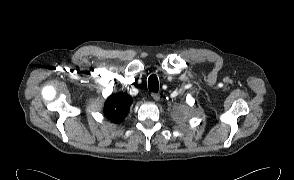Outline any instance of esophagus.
I'll use <instances>...</instances> for the list:
<instances>
[{
  "label": "esophagus",
  "instance_id": "obj_1",
  "mask_svg": "<svg viewBox=\"0 0 294 180\" xmlns=\"http://www.w3.org/2000/svg\"><path fill=\"white\" fill-rule=\"evenodd\" d=\"M151 96L152 98L155 100V101H159L160 100V94L159 93H151Z\"/></svg>",
  "mask_w": 294,
  "mask_h": 180
}]
</instances>
